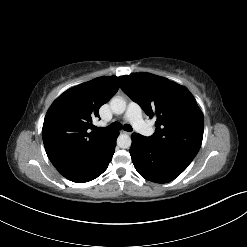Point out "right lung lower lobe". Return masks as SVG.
<instances>
[{
  "label": "right lung lower lobe",
  "instance_id": "1",
  "mask_svg": "<svg viewBox=\"0 0 247 247\" xmlns=\"http://www.w3.org/2000/svg\"><path fill=\"white\" fill-rule=\"evenodd\" d=\"M118 135L119 132H112L108 140L87 161L60 170V174L76 183L88 182L97 178L107 169L112 159Z\"/></svg>",
  "mask_w": 247,
  "mask_h": 247
}]
</instances>
